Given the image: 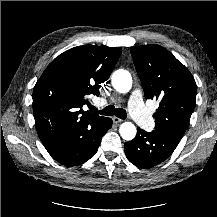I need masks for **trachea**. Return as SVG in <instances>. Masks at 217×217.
<instances>
[{
  "mask_svg": "<svg viewBox=\"0 0 217 217\" xmlns=\"http://www.w3.org/2000/svg\"><path fill=\"white\" fill-rule=\"evenodd\" d=\"M90 110L92 112H95V113H98L101 115H105V116L116 115L120 119H126L127 118L126 111L123 108H115L114 105H109L102 110H98L96 107L90 106Z\"/></svg>",
  "mask_w": 217,
  "mask_h": 217,
  "instance_id": "1",
  "label": "trachea"
}]
</instances>
